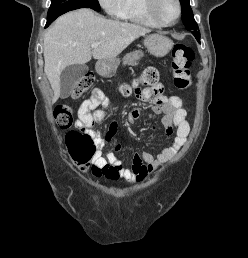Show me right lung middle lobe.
<instances>
[{
  "label": "right lung middle lobe",
  "mask_w": 248,
  "mask_h": 258,
  "mask_svg": "<svg viewBox=\"0 0 248 258\" xmlns=\"http://www.w3.org/2000/svg\"><path fill=\"white\" fill-rule=\"evenodd\" d=\"M84 7L100 11L98 0H51L47 21L55 20L58 16L68 11Z\"/></svg>",
  "instance_id": "right-lung-middle-lobe-1"
}]
</instances>
